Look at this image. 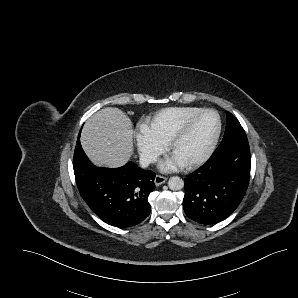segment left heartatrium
<instances>
[{"label": "left heart atrium", "instance_id": "1", "mask_svg": "<svg viewBox=\"0 0 298 298\" xmlns=\"http://www.w3.org/2000/svg\"><path fill=\"white\" fill-rule=\"evenodd\" d=\"M184 165L185 163L172 156H169L158 162V166L163 172L176 171L177 169L182 168Z\"/></svg>", "mask_w": 298, "mask_h": 298}]
</instances>
